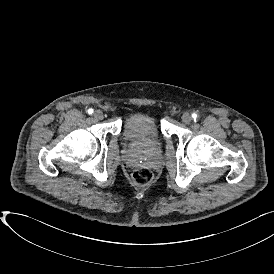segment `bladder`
Listing matches in <instances>:
<instances>
[{
	"label": "bladder",
	"mask_w": 274,
	"mask_h": 274,
	"mask_svg": "<svg viewBox=\"0 0 274 274\" xmlns=\"http://www.w3.org/2000/svg\"><path fill=\"white\" fill-rule=\"evenodd\" d=\"M160 124L150 111H137L129 115L123 124L122 135L125 141L142 144L158 138Z\"/></svg>",
	"instance_id": "bladder-1"
}]
</instances>
